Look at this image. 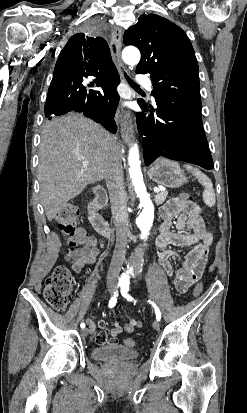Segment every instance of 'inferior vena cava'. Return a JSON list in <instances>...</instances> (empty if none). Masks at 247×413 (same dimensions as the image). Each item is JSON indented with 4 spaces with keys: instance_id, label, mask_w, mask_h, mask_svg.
<instances>
[{
    "instance_id": "obj_1",
    "label": "inferior vena cava",
    "mask_w": 247,
    "mask_h": 413,
    "mask_svg": "<svg viewBox=\"0 0 247 413\" xmlns=\"http://www.w3.org/2000/svg\"><path fill=\"white\" fill-rule=\"evenodd\" d=\"M111 146H108L109 156L105 162V182L107 184L111 211L116 229V245L107 281L117 283L123 261H125L127 239L130 235L128 229L127 192L124 186V170L120 158L121 142L117 136H111Z\"/></svg>"
}]
</instances>
